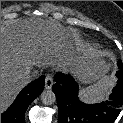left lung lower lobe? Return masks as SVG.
I'll use <instances>...</instances> for the list:
<instances>
[{
  "instance_id": "0a47b994",
  "label": "left lung lower lobe",
  "mask_w": 123,
  "mask_h": 123,
  "mask_svg": "<svg viewBox=\"0 0 123 123\" xmlns=\"http://www.w3.org/2000/svg\"><path fill=\"white\" fill-rule=\"evenodd\" d=\"M116 77L118 81L109 99L89 105L79 100L78 85L74 79L57 73L52 90L57 99L58 123H113L123 105V76L116 74Z\"/></svg>"
}]
</instances>
